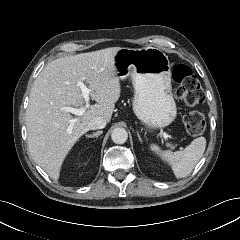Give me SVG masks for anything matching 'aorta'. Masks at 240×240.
I'll return each mask as SVG.
<instances>
[{"label":"aorta","mask_w":240,"mask_h":240,"mask_svg":"<svg viewBox=\"0 0 240 240\" xmlns=\"http://www.w3.org/2000/svg\"><path fill=\"white\" fill-rule=\"evenodd\" d=\"M111 139L116 144H123L128 139V133L124 128H115L111 133Z\"/></svg>","instance_id":"aorta-1"}]
</instances>
